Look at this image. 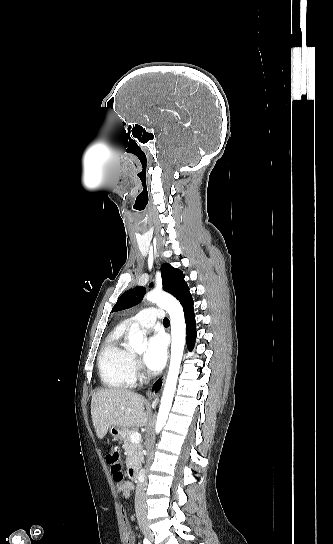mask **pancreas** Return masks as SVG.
I'll use <instances>...</instances> for the list:
<instances>
[{"mask_svg": "<svg viewBox=\"0 0 333 544\" xmlns=\"http://www.w3.org/2000/svg\"><path fill=\"white\" fill-rule=\"evenodd\" d=\"M137 429L127 430L123 436L124 450L127 455L126 464L127 466L136 464L140 462L142 456V445L141 443H132L130 441V436L132 433L136 432Z\"/></svg>", "mask_w": 333, "mask_h": 544, "instance_id": "pancreas-1", "label": "pancreas"}]
</instances>
